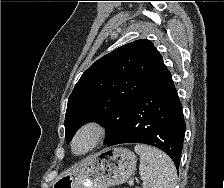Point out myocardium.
<instances>
[{
    "mask_svg": "<svg viewBox=\"0 0 224 188\" xmlns=\"http://www.w3.org/2000/svg\"><path fill=\"white\" fill-rule=\"evenodd\" d=\"M84 133L91 134L92 140L86 149L77 152L75 150V142ZM106 134H107V127L103 122L99 120H89L84 122L82 125L78 127V129L75 131L72 137L70 144L72 153L81 156L91 152L105 139Z\"/></svg>",
    "mask_w": 224,
    "mask_h": 188,
    "instance_id": "obj_1",
    "label": "myocardium"
}]
</instances>
